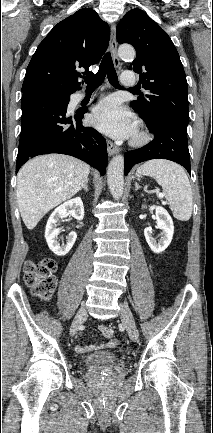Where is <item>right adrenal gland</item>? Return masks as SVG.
Listing matches in <instances>:
<instances>
[{"label":"right adrenal gland","mask_w":213,"mask_h":433,"mask_svg":"<svg viewBox=\"0 0 213 433\" xmlns=\"http://www.w3.org/2000/svg\"><path fill=\"white\" fill-rule=\"evenodd\" d=\"M88 182H89V179L86 180V182L84 183V185L82 186V188L79 191L85 190V192H88Z\"/></svg>","instance_id":"right-adrenal-gland-1"}]
</instances>
